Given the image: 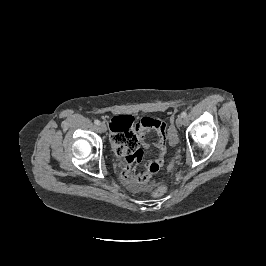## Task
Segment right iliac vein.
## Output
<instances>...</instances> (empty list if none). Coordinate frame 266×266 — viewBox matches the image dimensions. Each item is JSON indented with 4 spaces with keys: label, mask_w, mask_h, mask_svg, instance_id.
<instances>
[{
    "label": "right iliac vein",
    "mask_w": 266,
    "mask_h": 266,
    "mask_svg": "<svg viewBox=\"0 0 266 266\" xmlns=\"http://www.w3.org/2000/svg\"><path fill=\"white\" fill-rule=\"evenodd\" d=\"M99 128H100V130H101L102 132H106V131H107V126H106L105 123H101V124L99 125Z\"/></svg>",
    "instance_id": "obj_1"
}]
</instances>
